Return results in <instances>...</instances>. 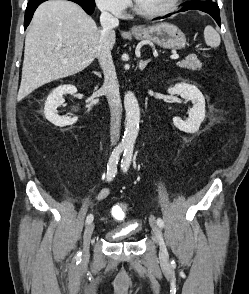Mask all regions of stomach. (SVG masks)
Segmentation results:
<instances>
[{
  "label": "stomach",
  "instance_id": "1",
  "mask_svg": "<svg viewBox=\"0 0 249 294\" xmlns=\"http://www.w3.org/2000/svg\"><path fill=\"white\" fill-rule=\"evenodd\" d=\"M138 40L151 41L163 48L182 49L186 45L185 34L171 23L161 22L132 32Z\"/></svg>",
  "mask_w": 249,
  "mask_h": 294
}]
</instances>
